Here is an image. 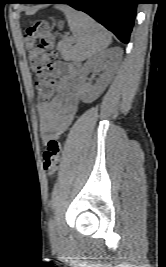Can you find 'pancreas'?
I'll list each match as a JSON object with an SVG mask.
<instances>
[{"mask_svg":"<svg viewBox=\"0 0 166 267\" xmlns=\"http://www.w3.org/2000/svg\"><path fill=\"white\" fill-rule=\"evenodd\" d=\"M58 50L60 51L63 58L67 59L70 56L71 44L66 40L58 43Z\"/></svg>","mask_w":166,"mask_h":267,"instance_id":"obj_1","label":"pancreas"}]
</instances>
